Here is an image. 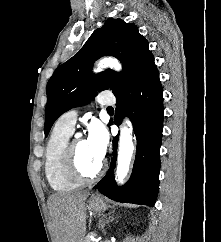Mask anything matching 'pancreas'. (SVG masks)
<instances>
[{"label": "pancreas", "mask_w": 221, "mask_h": 242, "mask_svg": "<svg viewBox=\"0 0 221 242\" xmlns=\"http://www.w3.org/2000/svg\"><path fill=\"white\" fill-rule=\"evenodd\" d=\"M92 235H93V236H96L95 233H92ZM83 242H94V241L90 238V236H87V237H85V239H84Z\"/></svg>", "instance_id": "cf45deb5"}]
</instances>
